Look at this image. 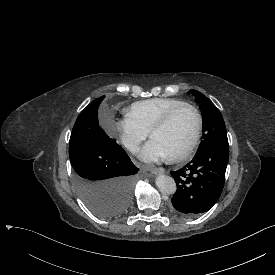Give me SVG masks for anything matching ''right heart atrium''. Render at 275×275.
I'll return each mask as SVG.
<instances>
[{"label":"right heart atrium","instance_id":"obj_1","mask_svg":"<svg viewBox=\"0 0 275 275\" xmlns=\"http://www.w3.org/2000/svg\"><path fill=\"white\" fill-rule=\"evenodd\" d=\"M114 133L122 145L132 154L139 151L149 132L129 117L117 120L114 124Z\"/></svg>","mask_w":275,"mask_h":275}]
</instances>
